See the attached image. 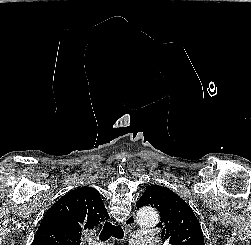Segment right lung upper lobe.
Here are the masks:
<instances>
[{"label": "right lung upper lobe", "instance_id": "obj_1", "mask_svg": "<svg viewBox=\"0 0 251 245\" xmlns=\"http://www.w3.org/2000/svg\"><path fill=\"white\" fill-rule=\"evenodd\" d=\"M99 192L92 187L71 190L49 208L32 245H77L82 231L107 218Z\"/></svg>", "mask_w": 251, "mask_h": 245}]
</instances>
